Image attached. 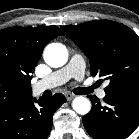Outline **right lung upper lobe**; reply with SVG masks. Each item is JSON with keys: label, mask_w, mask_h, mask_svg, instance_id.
<instances>
[{"label": "right lung upper lobe", "mask_w": 139, "mask_h": 139, "mask_svg": "<svg viewBox=\"0 0 139 139\" xmlns=\"http://www.w3.org/2000/svg\"><path fill=\"white\" fill-rule=\"evenodd\" d=\"M64 35L56 26L11 27L0 30V62L10 66L27 86L26 98L32 96L31 74L44 46Z\"/></svg>", "instance_id": "cb5924a9"}]
</instances>
